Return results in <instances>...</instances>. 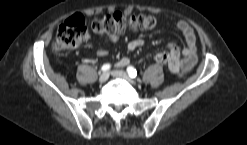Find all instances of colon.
Wrapping results in <instances>:
<instances>
[{"label":"colon","instance_id":"obj_1","mask_svg":"<svg viewBox=\"0 0 247 145\" xmlns=\"http://www.w3.org/2000/svg\"><path fill=\"white\" fill-rule=\"evenodd\" d=\"M156 24L155 17L149 14L125 15L114 12L95 19L91 29L97 35H118L127 30H152ZM87 37L85 19L76 14L59 26L53 47L58 52L67 51L80 45ZM156 60L165 64L169 56L167 53H160Z\"/></svg>","mask_w":247,"mask_h":145}]
</instances>
